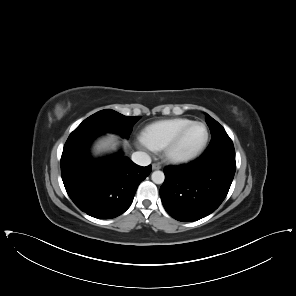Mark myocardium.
Instances as JSON below:
<instances>
[{"label": "myocardium", "mask_w": 296, "mask_h": 296, "mask_svg": "<svg viewBox=\"0 0 296 296\" xmlns=\"http://www.w3.org/2000/svg\"><path fill=\"white\" fill-rule=\"evenodd\" d=\"M194 125H200L203 127L204 129V139L201 143V145L192 153L189 154H176L174 152V149L176 147V145L178 144V142L180 141L181 137L183 136V134L192 126ZM208 139H209V131L208 128L206 126L205 123L201 122V121H191L190 123H188L187 125H185L184 127H182L168 142L167 144L164 146L163 148V156L164 158L171 163L174 164H181V163H187V162H191L193 160H195L196 158H198L203 151L206 148V145L208 143Z\"/></svg>", "instance_id": "obj_1"}]
</instances>
